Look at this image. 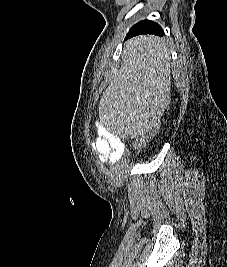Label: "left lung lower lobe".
I'll return each instance as SVG.
<instances>
[{
  "instance_id": "left-lung-lower-lobe-1",
  "label": "left lung lower lobe",
  "mask_w": 227,
  "mask_h": 267,
  "mask_svg": "<svg viewBox=\"0 0 227 267\" xmlns=\"http://www.w3.org/2000/svg\"><path fill=\"white\" fill-rule=\"evenodd\" d=\"M142 34H152L155 36H163L164 31L158 23L146 19V20L138 22L133 27H131L130 31L126 35L125 40L130 39L134 36L142 35ZM142 44H144L143 40H139L138 42H136L137 47L141 46Z\"/></svg>"
}]
</instances>
